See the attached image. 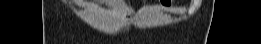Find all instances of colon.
<instances>
[{"label": "colon", "mask_w": 261, "mask_h": 44, "mask_svg": "<svg viewBox=\"0 0 261 44\" xmlns=\"http://www.w3.org/2000/svg\"><path fill=\"white\" fill-rule=\"evenodd\" d=\"M162 5H163V6H168V5H169V2H168V1H163V2H162Z\"/></svg>", "instance_id": "obj_1"}]
</instances>
